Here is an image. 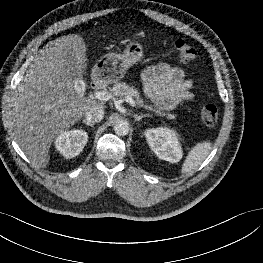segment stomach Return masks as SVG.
I'll use <instances>...</instances> for the list:
<instances>
[{
	"mask_svg": "<svg viewBox=\"0 0 263 263\" xmlns=\"http://www.w3.org/2000/svg\"><path fill=\"white\" fill-rule=\"evenodd\" d=\"M143 57L144 47L138 42H130L121 54L109 52L102 56L92 69V79L107 84L118 82Z\"/></svg>",
	"mask_w": 263,
	"mask_h": 263,
	"instance_id": "1",
	"label": "stomach"
}]
</instances>
